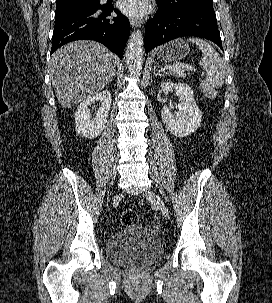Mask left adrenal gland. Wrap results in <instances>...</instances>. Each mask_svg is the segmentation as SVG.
I'll return each mask as SVG.
<instances>
[{
  "label": "left adrenal gland",
  "instance_id": "left-adrenal-gland-1",
  "mask_svg": "<svg viewBox=\"0 0 272 303\" xmlns=\"http://www.w3.org/2000/svg\"><path fill=\"white\" fill-rule=\"evenodd\" d=\"M154 76H164L165 74L162 73L160 70H157V68H154Z\"/></svg>",
  "mask_w": 272,
  "mask_h": 303
}]
</instances>
